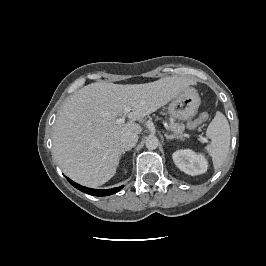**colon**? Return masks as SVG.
<instances>
[{"label": "colon", "instance_id": "colon-1", "mask_svg": "<svg viewBox=\"0 0 266 266\" xmlns=\"http://www.w3.org/2000/svg\"><path fill=\"white\" fill-rule=\"evenodd\" d=\"M208 119V114L207 113H201L198 117H196L193 120L188 121L187 127L189 129H194L204 123Z\"/></svg>", "mask_w": 266, "mask_h": 266}]
</instances>
